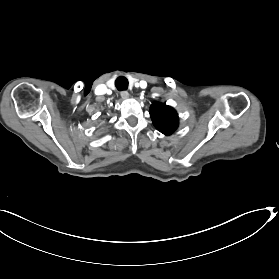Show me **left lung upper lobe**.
I'll use <instances>...</instances> for the list:
<instances>
[{
  "mask_svg": "<svg viewBox=\"0 0 279 279\" xmlns=\"http://www.w3.org/2000/svg\"><path fill=\"white\" fill-rule=\"evenodd\" d=\"M150 116L154 126L163 134L170 135L178 125L176 111L162 103H154L150 108Z\"/></svg>",
  "mask_w": 279,
  "mask_h": 279,
  "instance_id": "left-lung-upper-lobe-1",
  "label": "left lung upper lobe"
}]
</instances>
